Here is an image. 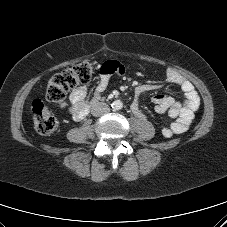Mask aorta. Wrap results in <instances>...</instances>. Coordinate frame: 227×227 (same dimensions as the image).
I'll return each instance as SVG.
<instances>
[{
    "instance_id": "1",
    "label": "aorta",
    "mask_w": 227,
    "mask_h": 227,
    "mask_svg": "<svg viewBox=\"0 0 227 227\" xmlns=\"http://www.w3.org/2000/svg\"><path fill=\"white\" fill-rule=\"evenodd\" d=\"M112 105H113V108L116 110H119L123 107V104L120 100L114 101Z\"/></svg>"
}]
</instances>
